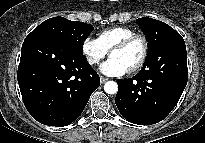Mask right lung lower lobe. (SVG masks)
I'll return each mask as SVG.
<instances>
[{
    "label": "right lung lower lobe",
    "instance_id": "1",
    "mask_svg": "<svg viewBox=\"0 0 205 143\" xmlns=\"http://www.w3.org/2000/svg\"><path fill=\"white\" fill-rule=\"evenodd\" d=\"M17 79L23 102L38 122L63 127L76 120L100 77L83 53L45 34L23 42Z\"/></svg>",
    "mask_w": 205,
    "mask_h": 143
}]
</instances>
